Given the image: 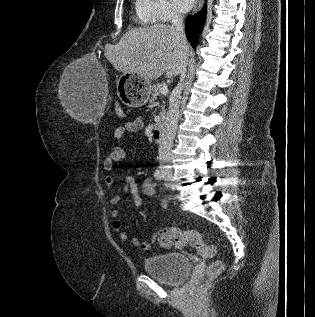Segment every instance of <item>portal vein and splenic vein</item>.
Returning a JSON list of instances; mask_svg holds the SVG:
<instances>
[{
	"instance_id": "1",
	"label": "portal vein and splenic vein",
	"mask_w": 315,
	"mask_h": 317,
	"mask_svg": "<svg viewBox=\"0 0 315 317\" xmlns=\"http://www.w3.org/2000/svg\"><path fill=\"white\" fill-rule=\"evenodd\" d=\"M161 94H163V95H167V94H168V89H167V87H163V88L161 89Z\"/></svg>"
}]
</instances>
